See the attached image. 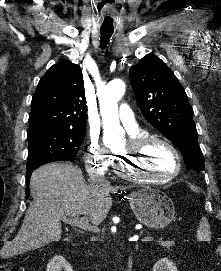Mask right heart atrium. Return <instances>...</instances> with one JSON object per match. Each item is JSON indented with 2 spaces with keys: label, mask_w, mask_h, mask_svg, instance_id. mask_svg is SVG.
I'll return each mask as SVG.
<instances>
[{
  "label": "right heart atrium",
  "mask_w": 221,
  "mask_h": 271,
  "mask_svg": "<svg viewBox=\"0 0 221 271\" xmlns=\"http://www.w3.org/2000/svg\"><path fill=\"white\" fill-rule=\"evenodd\" d=\"M88 167H93L96 173H106V168L110 165L112 154H105L104 151H98V146H89Z\"/></svg>",
  "instance_id": "1"
}]
</instances>
